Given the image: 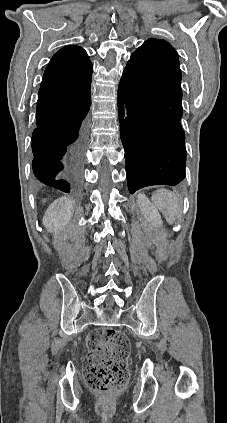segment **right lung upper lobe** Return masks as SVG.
<instances>
[{"label": "right lung upper lobe", "mask_w": 227, "mask_h": 423, "mask_svg": "<svg viewBox=\"0 0 227 423\" xmlns=\"http://www.w3.org/2000/svg\"><path fill=\"white\" fill-rule=\"evenodd\" d=\"M93 66L84 49L66 46L50 60L41 82L39 97L66 100L90 94Z\"/></svg>", "instance_id": "right-lung-upper-lobe-1"}]
</instances>
